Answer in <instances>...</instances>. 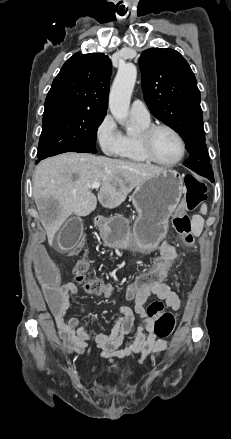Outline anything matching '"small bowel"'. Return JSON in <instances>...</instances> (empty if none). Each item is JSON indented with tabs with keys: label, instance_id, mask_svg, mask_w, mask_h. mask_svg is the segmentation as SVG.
<instances>
[{
	"label": "small bowel",
	"instance_id": "obj_1",
	"mask_svg": "<svg viewBox=\"0 0 231 439\" xmlns=\"http://www.w3.org/2000/svg\"><path fill=\"white\" fill-rule=\"evenodd\" d=\"M176 256L174 247L164 243L156 260L162 257L176 258ZM78 292V287L73 282L58 285L57 293L63 294L64 305L60 313H52L62 347L67 354L71 356L82 355L88 349L89 343L93 342L101 351V356L109 362L119 361L133 354H140L138 362L142 364L149 356L157 357L168 348L169 342L166 339L156 338L153 332V323L155 317L163 311L164 305L174 312L181 306L180 298L176 292L171 290L170 283H149L139 287L136 298H127L134 301V306L124 305L119 308V316L111 331L93 336L86 331L89 320L80 322L76 317L67 318L70 298L76 296ZM151 296L157 297L159 301L146 307L145 305ZM136 315L139 317L136 336L131 344L121 348L125 336L134 327Z\"/></svg>",
	"mask_w": 231,
	"mask_h": 439
}]
</instances>
